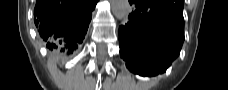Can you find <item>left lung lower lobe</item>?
I'll list each match as a JSON object with an SVG mask.
<instances>
[{"instance_id":"obj_1","label":"left lung lower lobe","mask_w":228,"mask_h":90,"mask_svg":"<svg viewBox=\"0 0 228 90\" xmlns=\"http://www.w3.org/2000/svg\"><path fill=\"white\" fill-rule=\"evenodd\" d=\"M184 0H129L134 11L119 27L120 55L141 76L163 73L184 42Z\"/></svg>"}]
</instances>
